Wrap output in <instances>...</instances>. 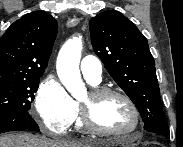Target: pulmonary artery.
I'll list each match as a JSON object with an SVG mask.
<instances>
[{
  "label": "pulmonary artery",
  "instance_id": "e3ab8cb5",
  "mask_svg": "<svg viewBox=\"0 0 183 147\" xmlns=\"http://www.w3.org/2000/svg\"><path fill=\"white\" fill-rule=\"evenodd\" d=\"M83 77L91 84H99L102 80L101 61L92 55L85 56L80 64Z\"/></svg>",
  "mask_w": 183,
  "mask_h": 147
}]
</instances>
